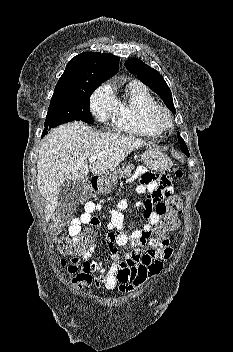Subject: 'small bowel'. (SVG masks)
<instances>
[{
    "instance_id": "small-bowel-1",
    "label": "small bowel",
    "mask_w": 233,
    "mask_h": 352,
    "mask_svg": "<svg viewBox=\"0 0 233 352\" xmlns=\"http://www.w3.org/2000/svg\"><path fill=\"white\" fill-rule=\"evenodd\" d=\"M140 179V184L136 187L137 193L148 195L140 205L144 208L145 224L140 229H135L128 237L123 227L125 218L122 213L127 207V202L122 200L118 204V209L110 210V219L107 223V229L110 231L107 240L109 243L110 253L113 263L108 269L102 264L92 261L93 248H86L81 258L75 257L67 265V272L71 276V283L79 289L90 287L94 282L95 274L98 279L104 283L108 290L119 288L121 292H129L143 284L148 278L158 274L163 268V260L171 257L173 248L169 245L168 235L165 238H150L153 231L156 230L160 222V214L153 210V205L162 204L164 198H169L173 194V188L170 180L166 175H159L139 167L131 177V180ZM156 206V208H157ZM102 205L88 201L84 205V212L79 217L73 218L68 226V233L71 237L80 234L82 225H91L99 227L101 225L97 217L94 216L96 211L102 210ZM139 247L149 244L151 249L142 253L139 249H134L125 261L119 259V247L130 242ZM61 265H65L62 261Z\"/></svg>"
}]
</instances>
